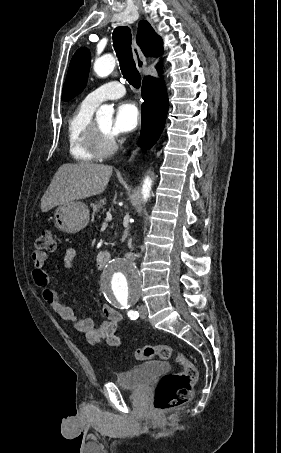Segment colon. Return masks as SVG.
Returning a JSON list of instances; mask_svg holds the SVG:
<instances>
[{
    "label": "colon",
    "mask_w": 281,
    "mask_h": 453,
    "mask_svg": "<svg viewBox=\"0 0 281 453\" xmlns=\"http://www.w3.org/2000/svg\"><path fill=\"white\" fill-rule=\"evenodd\" d=\"M56 229L47 227L36 243L40 250H54ZM136 362H145L159 358L164 362H173L181 369L180 373L165 374L158 381L154 397V408L159 413H166L191 400V382L198 376V368L186 357L176 352L169 345H153L130 352Z\"/></svg>",
    "instance_id": "colon-1"
}]
</instances>
